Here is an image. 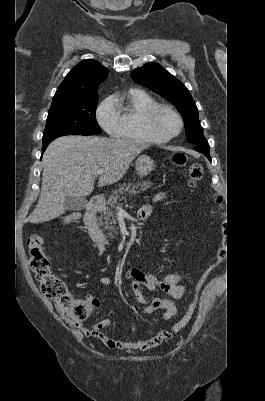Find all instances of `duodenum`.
Masks as SVG:
<instances>
[{"label": "duodenum", "instance_id": "obj_1", "mask_svg": "<svg viewBox=\"0 0 265 401\" xmlns=\"http://www.w3.org/2000/svg\"><path fill=\"white\" fill-rule=\"evenodd\" d=\"M102 206L103 203L99 197H92L87 205L86 213L84 215V223L90 237L94 242L106 244L107 239L97 222V214L101 211Z\"/></svg>", "mask_w": 265, "mask_h": 401}]
</instances>
